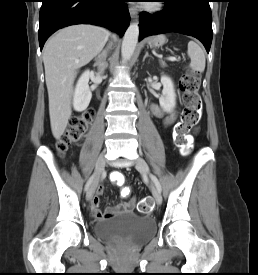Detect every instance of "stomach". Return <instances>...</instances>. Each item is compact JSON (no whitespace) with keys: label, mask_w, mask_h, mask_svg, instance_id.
Instances as JSON below:
<instances>
[{"label":"stomach","mask_w":258,"mask_h":275,"mask_svg":"<svg viewBox=\"0 0 258 275\" xmlns=\"http://www.w3.org/2000/svg\"><path fill=\"white\" fill-rule=\"evenodd\" d=\"M165 40L166 39L164 35H157L149 40V44L158 47L163 45L165 43Z\"/></svg>","instance_id":"1"}]
</instances>
